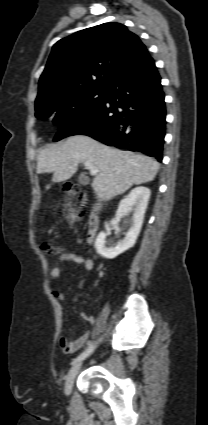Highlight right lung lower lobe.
Masks as SVG:
<instances>
[{"instance_id":"98d812e1","label":"right lung lower lobe","mask_w":208,"mask_h":425,"mask_svg":"<svg viewBox=\"0 0 208 425\" xmlns=\"http://www.w3.org/2000/svg\"><path fill=\"white\" fill-rule=\"evenodd\" d=\"M165 116L161 78L148 53L117 75L99 105L62 122L54 141L82 134L161 162Z\"/></svg>"}]
</instances>
